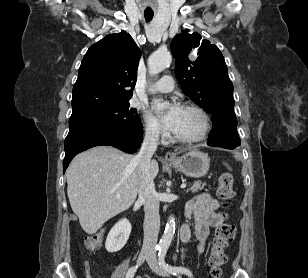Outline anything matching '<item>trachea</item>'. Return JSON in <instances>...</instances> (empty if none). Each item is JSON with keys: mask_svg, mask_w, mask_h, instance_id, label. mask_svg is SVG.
I'll use <instances>...</instances> for the list:
<instances>
[{"mask_svg": "<svg viewBox=\"0 0 308 278\" xmlns=\"http://www.w3.org/2000/svg\"><path fill=\"white\" fill-rule=\"evenodd\" d=\"M154 16L153 12H144L146 22H150Z\"/></svg>", "mask_w": 308, "mask_h": 278, "instance_id": "trachea-1", "label": "trachea"}]
</instances>
